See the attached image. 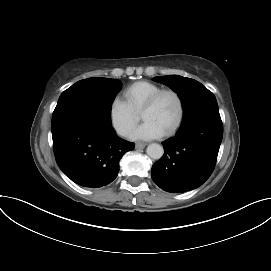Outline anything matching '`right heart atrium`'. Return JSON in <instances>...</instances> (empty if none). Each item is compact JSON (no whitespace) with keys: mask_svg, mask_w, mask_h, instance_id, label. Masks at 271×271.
<instances>
[{"mask_svg":"<svg viewBox=\"0 0 271 271\" xmlns=\"http://www.w3.org/2000/svg\"><path fill=\"white\" fill-rule=\"evenodd\" d=\"M138 115L119 97L114 98L109 106V121L112 128L121 136H128L138 122Z\"/></svg>","mask_w":271,"mask_h":271,"instance_id":"1","label":"right heart atrium"}]
</instances>
